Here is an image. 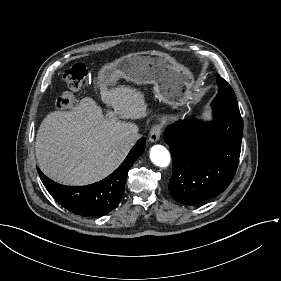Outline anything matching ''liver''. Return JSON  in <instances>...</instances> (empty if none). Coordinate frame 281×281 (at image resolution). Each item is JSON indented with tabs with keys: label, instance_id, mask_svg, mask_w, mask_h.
Listing matches in <instances>:
<instances>
[{
	"label": "liver",
	"instance_id": "obj_1",
	"mask_svg": "<svg viewBox=\"0 0 281 281\" xmlns=\"http://www.w3.org/2000/svg\"><path fill=\"white\" fill-rule=\"evenodd\" d=\"M101 99L125 119L139 117L145 111L141 94L130 88L104 91ZM138 132L137 124L120 122L114 113L105 119L102 108L85 98L71 112L46 115L36 134L35 155L41 171L53 181L89 185L120 166L134 145L120 137Z\"/></svg>",
	"mask_w": 281,
	"mask_h": 281
}]
</instances>
